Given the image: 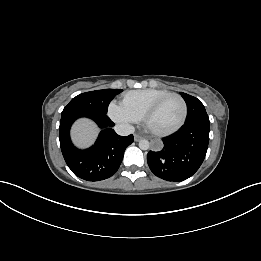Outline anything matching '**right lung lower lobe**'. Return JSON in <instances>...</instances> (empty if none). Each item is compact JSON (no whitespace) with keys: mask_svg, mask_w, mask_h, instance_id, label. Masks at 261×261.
Here are the masks:
<instances>
[{"mask_svg":"<svg viewBox=\"0 0 261 261\" xmlns=\"http://www.w3.org/2000/svg\"><path fill=\"white\" fill-rule=\"evenodd\" d=\"M87 117L103 130L95 144L86 150L77 149L70 139L72 123ZM114 123L104 114L76 109H64L59 127L60 147L66 164L78 177L87 181H100L111 177L119 168L125 149L133 142V135L120 136L111 127Z\"/></svg>","mask_w":261,"mask_h":261,"instance_id":"obj_1","label":"right lung lower lobe"}]
</instances>
